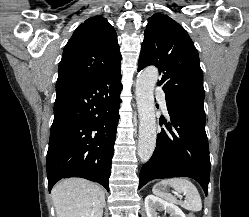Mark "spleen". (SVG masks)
<instances>
[{"label": "spleen", "instance_id": "3e777b00", "mask_svg": "<svg viewBox=\"0 0 249 217\" xmlns=\"http://www.w3.org/2000/svg\"><path fill=\"white\" fill-rule=\"evenodd\" d=\"M160 184L172 186L176 191L185 194L186 199L184 201H177L176 198L171 194L161 192L157 188V186ZM153 193L161 196L169 202L179 203L183 208L187 210L196 212L202 209L201 197L196 186L191 181L185 178L164 179L153 187Z\"/></svg>", "mask_w": 249, "mask_h": 217}]
</instances>
